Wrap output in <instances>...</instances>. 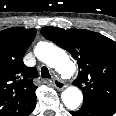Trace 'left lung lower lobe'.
Wrapping results in <instances>:
<instances>
[{
  "label": "left lung lower lobe",
  "instance_id": "1",
  "mask_svg": "<svg viewBox=\"0 0 116 116\" xmlns=\"http://www.w3.org/2000/svg\"><path fill=\"white\" fill-rule=\"evenodd\" d=\"M116 103L103 100H84L78 111H70L72 116H112Z\"/></svg>",
  "mask_w": 116,
  "mask_h": 116
}]
</instances>
